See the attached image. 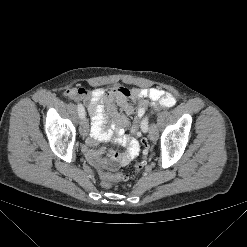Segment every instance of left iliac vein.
I'll return each instance as SVG.
<instances>
[{
  "mask_svg": "<svg viewBox=\"0 0 247 247\" xmlns=\"http://www.w3.org/2000/svg\"><path fill=\"white\" fill-rule=\"evenodd\" d=\"M142 131H143V132H147V131H148L147 127L142 126ZM149 138H150L152 141H155V140L157 139V128H156V125H155V124H153V125L151 126V129H150V131H149Z\"/></svg>",
  "mask_w": 247,
  "mask_h": 247,
  "instance_id": "left-iliac-vein-1",
  "label": "left iliac vein"
}]
</instances>
